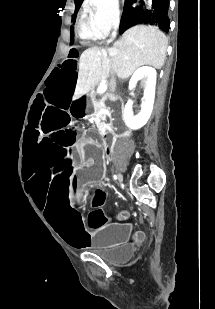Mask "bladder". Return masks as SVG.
Returning a JSON list of instances; mask_svg holds the SVG:
<instances>
[{
    "mask_svg": "<svg viewBox=\"0 0 215 309\" xmlns=\"http://www.w3.org/2000/svg\"><path fill=\"white\" fill-rule=\"evenodd\" d=\"M135 252L136 248L133 244H125L113 252L102 253L100 256L107 262L122 264L131 260L134 257Z\"/></svg>",
    "mask_w": 215,
    "mask_h": 309,
    "instance_id": "1",
    "label": "bladder"
}]
</instances>
